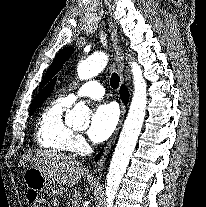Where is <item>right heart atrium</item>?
I'll list each match as a JSON object with an SVG mask.
<instances>
[{
	"mask_svg": "<svg viewBox=\"0 0 206 207\" xmlns=\"http://www.w3.org/2000/svg\"><path fill=\"white\" fill-rule=\"evenodd\" d=\"M75 145L77 151H82L86 148V142L82 135L80 134L75 135Z\"/></svg>",
	"mask_w": 206,
	"mask_h": 207,
	"instance_id": "obj_1",
	"label": "right heart atrium"
}]
</instances>
